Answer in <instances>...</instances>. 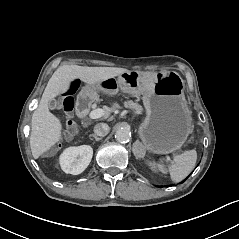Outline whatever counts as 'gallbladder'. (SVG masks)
<instances>
[{
    "label": "gallbladder",
    "instance_id": "1",
    "mask_svg": "<svg viewBox=\"0 0 239 239\" xmlns=\"http://www.w3.org/2000/svg\"><path fill=\"white\" fill-rule=\"evenodd\" d=\"M48 107H49L50 109H55V108L57 107V101H56V99H50V100L48 101Z\"/></svg>",
    "mask_w": 239,
    "mask_h": 239
}]
</instances>
